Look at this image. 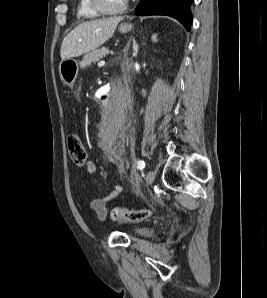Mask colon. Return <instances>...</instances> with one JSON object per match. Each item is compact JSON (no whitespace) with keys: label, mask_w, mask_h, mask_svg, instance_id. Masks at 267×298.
Segmentation results:
<instances>
[{"label":"colon","mask_w":267,"mask_h":298,"mask_svg":"<svg viewBox=\"0 0 267 298\" xmlns=\"http://www.w3.org/2000/svg\"><path fill=\"white\" fill-rule=\"evenodd\" d=\"M67 149L69 156L76 165H83L87 160V150L82 138L78 133H72L67 138ZM152 215L150 209L134 210L128 208H113L109 217L113 221L137 222L149 218Z\"/></svg>","instance_id":"obj_1"}]
</instances>
